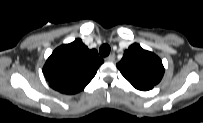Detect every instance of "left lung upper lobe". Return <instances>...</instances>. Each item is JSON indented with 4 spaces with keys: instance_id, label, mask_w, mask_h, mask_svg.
<instances>
[{
    "instance_id": "1",
    "label": "left lung upper lobe",
    "mask_w": 203,
    "mask_h": 123,
    "mask_svg": "<svg viewBox=\"0 0 203 123\" xmlns=\"http://www.w3.org/2000/svg\"><path fill=\"white\" fill-rule=\"evenodd\" d=\"M117 67L131 85L141 91L151 90L164 75L160 58L137 43L124 52Z\"/></svg>"
}]
</instances>
